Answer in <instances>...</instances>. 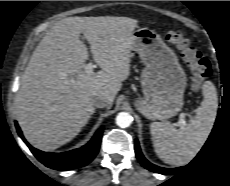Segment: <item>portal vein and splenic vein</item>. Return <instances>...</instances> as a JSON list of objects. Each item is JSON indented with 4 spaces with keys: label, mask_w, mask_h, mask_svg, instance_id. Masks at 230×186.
<instances>
[{
    "label": "portal vein and splenic vein",
    "mask_w": 230,
    "mask_h": 186,
    "mask_svg": "<svg viewBox=\"0 0 230 186\" xmlns=\"http://www.w3.org/2000/svg\"><path fill=\"white\" fill-rule=\"evenodd\" d=\"M94 67L95 66L92 63H89V64L85 65V67H84L85 73L91 74L93 72ZM184 118H185V114L182 113L181 117H180V120H179L180 125H185V119Z\"/></svg>",
    "instance_id": "obj_1"
}]
</instances>
